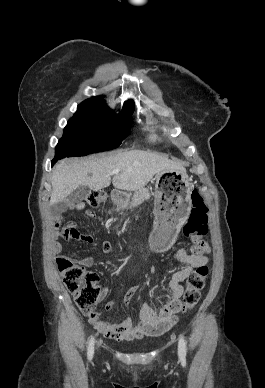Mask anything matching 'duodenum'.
Instances as JSON below:
<instances>
[{
	"label": "duodenum",
	"instance_id": "obj_1",
	"mask_svg": "<svg viewBox=\"0 0 265 388\" xmlns=\"http://www.w3.org/2000/svg\"><path fill=\"white\" fill-rule=\"evenodd\" d=\"M111 198L115 204H121L125 201L126 195L120 191H113Z\"/></svg>",
	"mask_w": 265,
	"mask_h": 388
}]
</instances>
